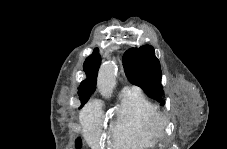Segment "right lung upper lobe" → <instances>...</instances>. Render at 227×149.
<instances>
[{
	"label": "right lung upper lobe",
	"mask_w": 227,
	"mask_h": 149,
	"mask_svg": "<svg viewBox=\"0 0 227 149\" xmlns=\"http://www.w3.org/2000/svg\"><path fill=\"white\" fill-rule=\"evenodd\" d=\"M101 63L99 49L95 48L93 53L85 60L83 70L87 78L81 82L78 88V94L81 100V106L84 105L96 89L97 74Z\"/></svg>",
	"instance_id": "cb5924a9"
}]
</instances>
